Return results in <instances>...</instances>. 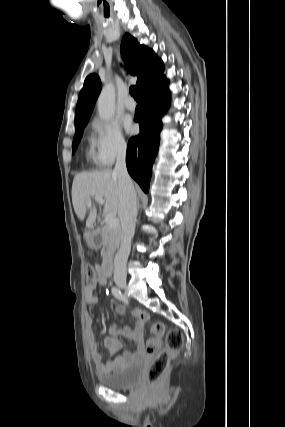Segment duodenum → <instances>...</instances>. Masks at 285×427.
<instances>
[{
	"instance_id": "1",
	"label": "duodenum",
	"mask_w": 285,
	"mask_h": 427,
	"mask_svg": "<svg viewBox=\"0 0 285 427\" xmlns=\"http://www.w3.org/2000/svg\"><path fill=\"white\" fill-rule=\"evenodd\" d=\"M113 263H114V257L112 252H108L107 256H106V260L104 263V271H105V275L108 277L109 274L112 271L113 268Z\"/></svg>"
}]
</instances>
